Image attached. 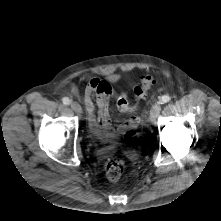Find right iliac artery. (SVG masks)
Returning a JSON list of instances; mask_svg holds the SVG:
<instances>
[{
  "label": "right iliac artery",
  "mask_w": 221,
  "mask_h": 221,
  "mask_svg": "<svg viewBox=\"0 0 221 221\" xmlns=\"http://www.w3.org/2000/svg\"><path fill=\"white\" fill-rule=\"evenodd\" d=\"M62 102H63V104H65V105H69V104L71 103V100H70L68 97H64V98L62 99Z\"/></svg>",
  "instance_id": "82829eb1"
}]
</instances>
